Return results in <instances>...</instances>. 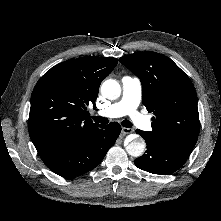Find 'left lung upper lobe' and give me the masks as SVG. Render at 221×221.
<instances>
[{
	"label": "left lung upper lobe",
	"mask_w": 221,
	"mask_h": 221,
	"mask_svg": "<svg viewBox=\"0 0 221 221\" xmlns=\"http://www.w3.org/2000/svg\"><path fill=\"white\" fill-rule=\"evenodd\" d=\"M121 64L142 83V103L153 112L152 131L144 139L191 152L199 135L197 95L189 77L168 57L156 52L123 56Z\"/></svg>",
	"instance_id": "left-lung-upper-lobe-1"
}]
</instances>
